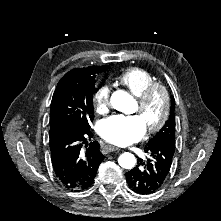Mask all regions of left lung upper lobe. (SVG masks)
I'll return each mask as SVG.
<instances>
[{
	"label": "left lung upper lobe",
	"instance_id": "1",
	"mask_svg": "<svg viewBox=\"0 0 221 221\" xmlns=\"http://www.w3.org/2000/svg\"><path fill=\"white\" fill-rule=\"evenodd\" d=\"M162 141L175 144V102L171 103L170 117L164 127L148 142V146L156 145Z\"/></svg>",
	"mask_w": 221,
	"mask_h": 221
}]
</instances>
